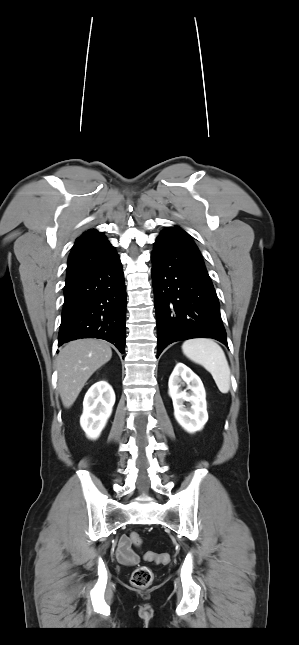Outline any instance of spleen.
<instances>
[{"mask_svg":"<svg viewBox=\"0 0 299 645\" xmlns=\"http://www.w3.org/2000/svg\"><path fill=\"white\" fill-rule=\"evenodd\" d=\"M182 351L190 360L211 373L221 393H228L230 368L224 351L216 342L207 338L190 339L183 343Z\"/></svg>","mask_w":299,"mask_h":645,"instance_id":"3e777b00","label":"spleen"}]
</instances>
